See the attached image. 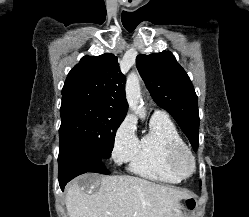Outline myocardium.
Instances as JSON below:
<instances>
[{
	"label": "myocardium",
	"instance_id": "1",
	"mask_svg": "<svg viewBox=\"0 0 249 217\" xmlns=\"http://www.w3.org/2000/svg\"><path fill=\"white\" fill-rule=\"evenodd\" d=\"M184 159L189 160V166L187 168L182 166ZM169 164L171 169L182 178L190 177L196 171V158L186 145H177L171 149Z\"/></svg>",
	"mask_w": 249,
	"mask_h": 217
}]
</instances>
